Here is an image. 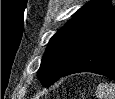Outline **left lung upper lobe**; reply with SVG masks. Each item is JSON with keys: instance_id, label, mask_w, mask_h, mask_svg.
Instances as JSON below:
<instances>
[{"instance_id": "5c2ea615", "label": "left lung upper lobe", "mask_w": 115, "mask_h": 99, "mask_svg": "<svg viewBox=\"0 0 115 99\" xmlns=\"http://www.w3.org/2000/svg\"><path fill=\"white\" fill-rule=\"evenodd\" d=\"M115 28V8L109 0L87 2L49 42L37 74L50 86L92 44Z\"/></svg>"}]
</instances>
